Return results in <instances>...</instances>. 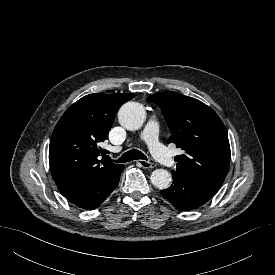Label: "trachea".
Wrapping results in <instances>:
<instances>
[{"instance_id": "1", "label": "trachea", "mask_w": 275, "mask_h": 275, "mask_svg": "<svg viewBox=\"0 0 275 275\" xmlns=\"http://www.w3.org/2000/svg\"><path fill=\"white\" fill-rule=\"evenodd\" d=\"M138 159L147 160V157L141 151L132 149L124 153L118 160H115V162L125 163Z\"/></svg>"}]
</instances>
